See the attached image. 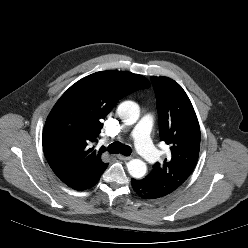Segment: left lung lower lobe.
<instances>
[{
    "label": "left lung lower lobe",
    "mask_w": 248,
    "mask_h": 248,
    "mask_svg": "<svg viewBox=\"0 0 248 248\" xmlns=\"http://www.w3.org/2000/svg\"><path fill=\"white\" fill-rule=\"evenodd\" d=\"M132 187L134 191L142 198L145 199H158L164 195L153 185L145 180L132 179Z\"/></svg>",
    "instance_id": "0a47b994"
}]
</instances>
